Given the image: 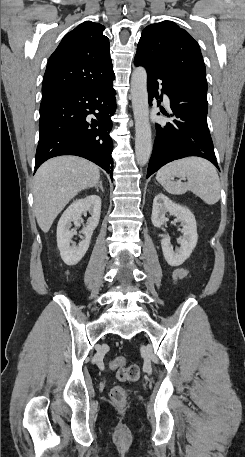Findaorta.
I'll use <instances>...</instances> for the list:
<instances>
[{"label":"aorta","instance_id":"aorta-1","mask_svg":"<svg viewBox=\"0 0 245 457\" xmlns=\"http://www.w3.org/2000/svg\"><path fill=\"white\" fill-rule=\"evenodd\" d=\"M131 99L135 120V154L140 166L146 165L152 151L151 126L147 92V72L143 67L134 69L131 76Z\"/></svg>","mask_w":245,"mask_h":457}]
</instances>
